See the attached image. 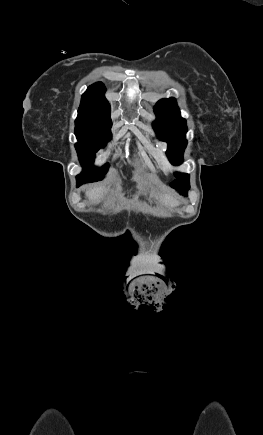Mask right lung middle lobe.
Here are the masks:
<instances>
[{
    "mask_svg": "<svg viewBox=\"0 0 263 435\" xmlns=\"http://www.w3.org/2000/svg\"><path fill=\"white\" fill-rule=\"evenodd\" d=\"M75 135L79 141L75 145L84 170L76 179L77 182L89 183L102 180L108 170V165L101 169L93 167L96 152L111 139L110 128L84 123H75Z\"/></svg>",
    "mask_w": 263,
    "mask_h": 435,
    "instance_id": "obj_1",
    "label": "right lung middle lobe"
}]
</instances>
